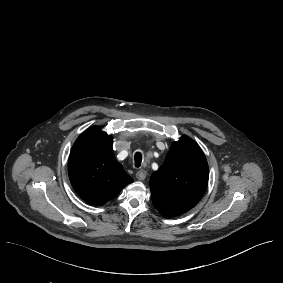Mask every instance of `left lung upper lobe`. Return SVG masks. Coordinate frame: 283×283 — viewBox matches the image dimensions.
Returning a JSON list of instances; mask_svg holds the SVG:
<instances>
[{
	"label": "left lung upper lobe",
	"mask_w": 283,
	"mask_h": 283,
	"mask_svg": "<svg viewBox=\"0 0 283 283\" xmlns=\"http://www.w3.org/2000/svg\"><path fill=\"white\" fill-rule=\"evenodd\" d=\"M208 164L198 144L188 136L174 142L163 165L150 178L152 202L164 217L181 215L202 198Z\"/></svg>",
	"instance_id": "5c2ea615"
}]
</instances>
